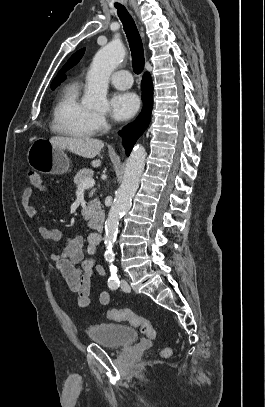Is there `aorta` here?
Instances as JSON below:
<instances>
[{
	"label": "aorta",
	"mask_w": 265,
	"mask_h": 407,
	"mask_svg": "<svg viewBox=\"0 0 265 407\" xmlns=\"http://www.w3.org/2000/svg\"><path fill=\"white\" fill-rule=\"evenodd\" d=\"M125 49L119 39L112 40L101 48L93 58L87 74V90L82 99L84 105L91 108H105L108 105L107 90L109 77L122 62ZM146 151L141 145H135L126 163L123 181L116 192L113 205L105 221V253L104 258L110 264V272L115 274L113 265L115 254L113 247L116 241L119 219L131 206V200L139 187L144 170Z\"/></svg>",
	"instance_id": "1"
}]
</instances>
